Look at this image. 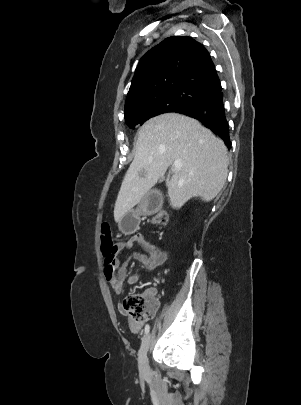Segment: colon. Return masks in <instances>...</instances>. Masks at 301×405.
Listing matches in <instances>:
<instances>
[{
  "mask_svg": "<svg viewBox=\"0 0 301 405\" xmlns=\"http://www.w3.org/2000/svg\"><path fill=\"white\" fill-rule=\"evenodd\" d=\"M151 222L156 227H164L168 223V215L162 211L155 213ZM101 250L105 257V264H111L116 247L113 243L111 229L108 223L101 227ZM123 311L128 318L129 327L132 331L138 332L144 322L152 318L157 310V302L150 295L133 293L128 295L122 304Z\"/></svg>",
  "mask_w": 301,
  "mask_h": 405,
  "instance_id": "1",
  "label": "colon"
}]
</instances>
